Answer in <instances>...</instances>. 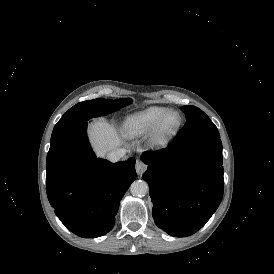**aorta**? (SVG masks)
Here are the masks:
<instances>
[{
	"instance_id": "1",
	"label": "aorta",
	"mask_w": 274,
	"mask_h": 274,
	"mask_svg": "<svg viewBox=\"0 0 274 274\" xmlns=\"http://www.w3.org/2000/svg\"><path fill=\"white\" fill-rule=\"evenodd\" d=\"M130 191L133 196L143 197L148 192V184L144 180H136L131 184Z\"/></svg>"
}]
</instances>
